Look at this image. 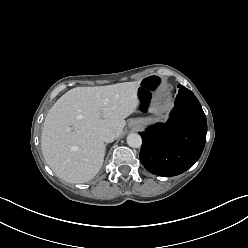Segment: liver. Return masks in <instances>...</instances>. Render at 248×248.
Returning a JSON list of instances; mask_svg holds the SVG:
<instances>
[{
    "mask_svg": "<svg viewBox=\"0 0 248 248\" xmlns=\"http://www.w3.org/2000/svg\"><path fill=\"white\" fill-rule=\"evenodd\" d=\"M140 83L76 87L56 101L44 121L41 149L59 178L85 183L99 172L106 152L100 132L109 128L121 135L125 118L140 105Z\"/></svg>",
    "mask_w": 248,
    "mask_h": 248,
    "instance_id": "liver-1",
    "label": "liver"
}]
</instances>
